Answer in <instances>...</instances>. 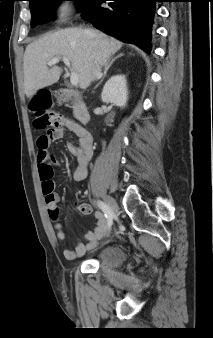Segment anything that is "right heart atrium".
I'll return each instance as SVG.
<instances>
[{
    "label": "right heart atrium",
    "instance_id": "obj_1",
    "mask_svg": "<svg viewBox=\"0 0 213 338\" xmlns=\"http://www.w3.org/2000/svg\"><path fill=\"white\" fill-rule=\"evenodd\" d=\"M66 11H67V8L62 7V8L60 9V15L64 16V15L66 14Z\"/></svg>",
    "mask_w": 213,
    "mask_h": 338
}]
</instances>
